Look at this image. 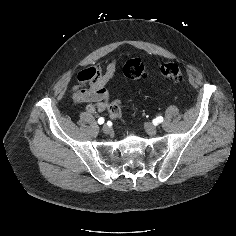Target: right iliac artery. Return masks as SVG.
Segmentation results:
<instances>
[{
    "mask_svg": "<svg viewBox=\"0 0 236 236\" xmlns=\"http://www.w3.org/2000/svg\"><path fill=\"white\" fill-rule=\"evenodd\" d=\"M98 123L101 125V124H103L104 123V118L103 117H100L99 119H98Z\"/></svg>",
    "mask_w": 236,
    "mask_h": 236,
    "instance_id": "1",
    "label": "right iliac artery"
}]
</instances>
